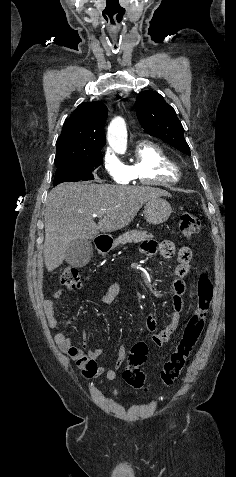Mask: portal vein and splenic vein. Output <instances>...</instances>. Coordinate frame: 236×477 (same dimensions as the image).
I'll list each match as a JSON object with an SVG mask.
<instances>
[{
    "mask_svg": "<svg viewBox=\"0 0 236 477\" xmlns=\"http://www.w3.org/2000/svg\"><path fill=\"white\" fill-rule=\"evenodd\" d=\"M92 216H93V218H96V217L102 218L104 216V212H99L97 214H93Z\"/></svg>",
    "mask_w": 236,
    "mask_h": 477,
    "instance_id": "portal-vein-and-splenic-vein-1",
    "label": "portal vein and splenic vein"
}]
</instances>
